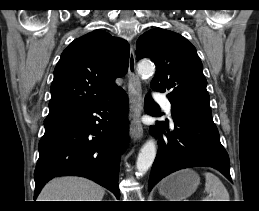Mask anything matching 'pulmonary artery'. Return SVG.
I'll return each mask as SVG.
<instances>
[{
    "instance_id": "obj_1",
    "label": "pulmonary artery",
    "mask_w": 259,
    "mask_h": 211,
    "mask_svg": "<svg viewBox=\"0 0 259 211\" xmlns=\"http://www.w3.org/2000/svg\"><path fill=\"white\" fill-rule=\"evenodd\" d=\"M155 97L159 100V102L161 103L163 109L166 111V113L171 116V103L169 102V100L165 97H163L161 94L159 93H155Z\"/></svg>"
}]
</instances>
